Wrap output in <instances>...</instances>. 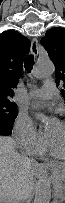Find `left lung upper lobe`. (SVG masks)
<instances>
[{"mask_svg": "<svg viewBox=\"0 0 65 203\" xmlns=\"http://www.w3.org/2000/svg\"><path fill=\"white\" fill-rule=\"evenodd\" d=\"M41 44L47 50L55 65L56 84H63L65 88V29L56 27L46 32ZM65 99V91H61Z\"/></svg>", "mask_w": 65, "mask_h": 203, "instance_id": "5c2ea615", "label": "left lung upper lobe"}]
</instances>
